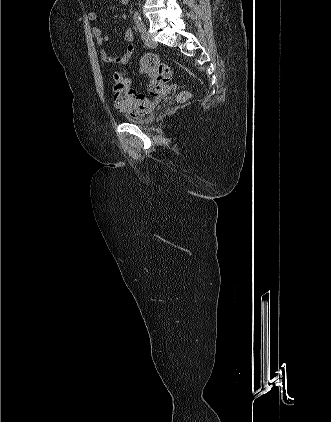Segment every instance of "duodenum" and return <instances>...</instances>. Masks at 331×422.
<instances>
[{"instance_id":"1","label":"duodenum","mask_w":331,"mask_h":422,"mask_svg":"<svg viewBox=\"0 0 331 422\" xmlns=\"http://www.w3.org/2000/svg\"><path fill=\"white\" fill-rule=\"evenodd\" d=\"M124 4H127L129 0H122Z\"/></svg>"}]
</instances>
